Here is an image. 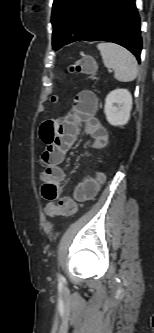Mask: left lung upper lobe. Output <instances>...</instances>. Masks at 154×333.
<instances>
[{
  "label": "left lung upper lobe",
  "mask_w": 154,
  "mask_h": 333,
  "mask_svg": "<svg viewBox=\"0 0 154 333\" xmlns=\"http://www.w3.org/2000/svg\"><path fill=\"white\" fill-rule=\"evenodd\" d=\"M96 1L54 0L51 16L54 49H59L73 36Z\"/></svg>",
  "instance_id": "1"
}]
</instances>
